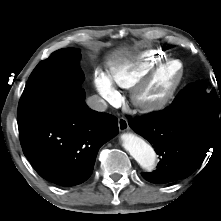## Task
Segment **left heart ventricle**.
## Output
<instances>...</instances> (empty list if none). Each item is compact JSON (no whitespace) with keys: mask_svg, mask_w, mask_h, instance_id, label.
Here are the masks:
<instances>
[{"mask_svg":"<svg viewBox=\"0 0 221 221\" xmlns=\"http://www.w3.org/2000/svg\"><path fill=\"white\" fill-rule=\"evenodd\" d=\"M179 74L180 65L178 63H171L165 66L147 88L146 96L149 98H158L164 95L174 85Z\"/></svg>","mask_w":221,"mask_h":221,"instance_id":"b2bd125f","label":"left heart ventricle"}]
</instances>
